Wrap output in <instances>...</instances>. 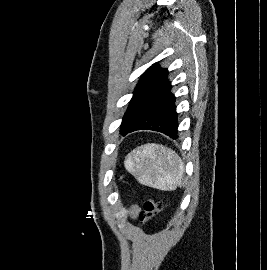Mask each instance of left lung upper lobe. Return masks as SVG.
<instances>
[{
  "label": "left lung upper lobe",
  "instance_id": "left-lung-upper-lobe-1",
  "mask_svg": "<svg viewBox=\"0 0 267 270\" xmlns=\"http://www.w3.org/2000/svg\"><path fill=\"white\" fill-rule=\"evenodd\" d=\"M168 84V71L159 68L158 63L153 64L143 73L123 117L120 129L121 135L152 105Z\"/></svg>",
  "mask_w": 267,
  "mask_h": 270
}]
</instances>
